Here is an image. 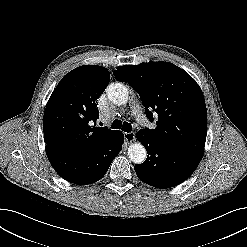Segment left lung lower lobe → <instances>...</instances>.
Wrapping results in <instances>:
<instances>
[{
    "label": "left lung lower lobe",
    "instance_id": "0a47b994",
    "mask_svg": "<svg viewBox=\"0 0 247 247\" xmlns=\"http://www.w3.org/2000/svg\"><path fill=\"white\" fill-rule=\"evenodd\" d=\"M137 139L145 146L148 156L144 163L135 165V172L141 181L156 188H170L185 181L203 156L162 145L139 131Z\"/></svg>",
    "mask_w": 247,
    "mask_h": 247
}]
</instances>
